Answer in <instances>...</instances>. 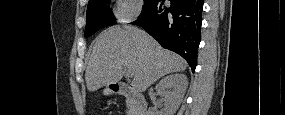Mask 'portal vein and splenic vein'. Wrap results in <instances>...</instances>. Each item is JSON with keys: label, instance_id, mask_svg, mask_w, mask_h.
Wrapping results in <instances>:
<instances>
[{"label": "portal vein and splenic vein", "instance_id": "obj_1", "mask_svg": "<svg viewBox=\"0 0 285 115\" xmlns=\"http://www.w3.org/2000/svg\"><path fill=\"white\" fill-rule=\"evenodd\" d=\"M125 73H126V75H127V76H132V74H131V71H130V70H126V71H125Z\"/></svg>", "mask_w": 285, "mask_h": 115}]
</instances>
